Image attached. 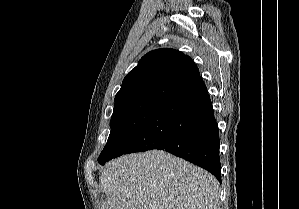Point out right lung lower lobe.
<instances>
[{"instance_id":"1","label":"right lung lower lobe","mask_w":299,"mask_h":209,"mask_svg":"<svg viewBox=\"0 0 299 209\" xmlns=\"http://www.w3.org/2000/svg\"><path fill=\"white\" fill-rule=\"evenodd\" d=\"M219 146L211 99L198 76L162 102L115 157L152 149L165 150L208 170L221 182Z\"/></svg>"}]
</instances>
